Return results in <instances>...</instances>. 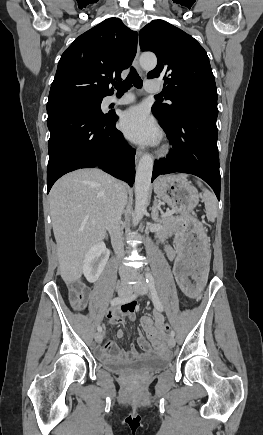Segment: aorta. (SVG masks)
Instances as JSON below:
<instances>
[{"label":"aorta","mask_w":263,"mask_h":435,"mask_svg":"<svg viewBox=\"0 0 263 435\" xmlns=\"http://www.w3.org/2000/svg\"><path fill=\"white\" fill-rule=\"evenodd\" d=\"M140 64L146 70L153 69L157 64V58L154 54H143L140 57ZM152 170L153 157L150 154H144L140 159L136 170L133 226H136L139 223L146 212L150 198Z\"/></svg>","instance_id":"1"}]
</instances>
